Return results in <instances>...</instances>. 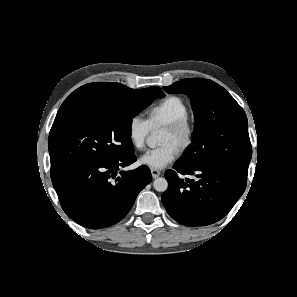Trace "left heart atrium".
<instances>
[{"label": "left heart atrium", "mask_w": 297, "mask_h": 297, "mask_svg": "<svg viewBox=\"0 0 297 297\" xmlns=\"http://www.w3.org/2000/svg\"><path fill=\"white\" fill-rule=\"evenodd\" d=\"M178 155L179 147L176 144L165 143L145 153L140 158V162L151 169H163L170 165Z\"/></svg>", "instance_id": "1"}]
</instances>
